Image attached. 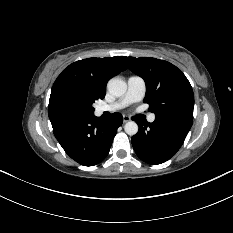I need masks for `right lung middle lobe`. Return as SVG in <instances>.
<instances>
[{"label":"right lung middle lobe","mask_w":233,"mask_h":233,"mask_svg":"<svg viewBox=\"0 0 233 233\" xmlns=\"http://www.w3.org/2000/svg\"><path fill=\"white\" fill-rule=\"evenodd\" d=\"M95 100L90 96L73 90L63 89L57 92L49 101V115H83L93 114L92 104Z\"/></svg>","instance_id":"1"}]
</instances>
